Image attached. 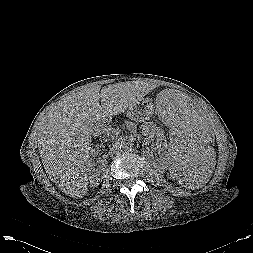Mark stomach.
Returning a JSON list of instances; mask_svg holds the SVG:
<instances>
[{"label":"stomach","instance_id":"stomach-1","mask_svg":"<svg viewBox=\"0 0 253 253\" xmlns=\"http://www.w3.org/2000/svg\"><path fill=\"white\" fill-rule=\"evenodd\" d=\"M154 114V106L150 100L144 99L128 109L127 116L136 121L144 122L149 120ZM162 120V119H161Z\"/></svg>","mask_w":253,"mask_h":253}]
</instances>
